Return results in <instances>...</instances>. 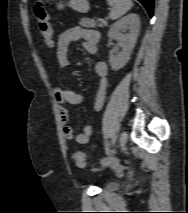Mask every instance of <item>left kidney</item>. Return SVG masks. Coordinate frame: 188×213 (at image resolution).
I'll return each mask as SVG.
<instances>
[{"label": "left kidney", "instance_id": "left-kidney-1", "mask_svg": "<svg viewBox=\"0 0 188 213\" xmlns=\"http://www.w3.org/2000/svg\"><path fill=\"white\" fill-rule=\"evenodd\" d=\"M122 30H129L128 34H122ZM140 30V19L135 13H131L116 21L109 29L110 39L118 41L122 51L116 56L110 55L111 69L117 71L123 68L129 61L131 53L137 41Z\"/></svg>", "mask_w": 188, "mask_h": 213}]
</instances>
